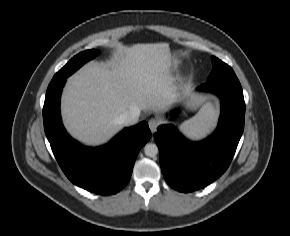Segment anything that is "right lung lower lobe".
Instances as JSON below:
<instances>
[{
  "instance_id": "98d812e1",
  "label": "right lung lower lobe",
  "mask_w": 290,
  "mask_h": 236,
  "mask_svg": "<svg viewBox=\"0 0 290 236\" xmlns=\"http://www.w3.org/2000/svg\"><path fill=\"white\" fill-rule=\"evenodd\" d=\"M67 77L53 78L43 107L45 133L58 164L75 185L100 195L119 192L129 181L140 149L151 137L147 122L122 130L112 141L89 148L73 140L60 116V96Z\"/></svg>"
}]
</instances>
